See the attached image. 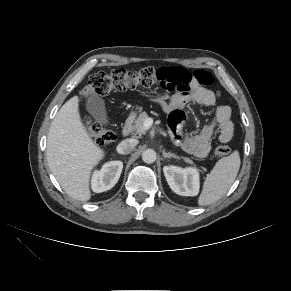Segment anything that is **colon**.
Returning a JSON list of instances; mask_svg holds the SVG:
<instances>
[{"label": "colon", "mask_w": 291, "mask_h": 291, "mask_svg": "<svg viewBox=\"0 0 291 291\" xmlns=\"http://www.w3.org/2000/svg\"><path fill=\"white\" fill-rule=\"evenodd\" d=\"M197 78L201 82H206L209 73L205 71L196 72ZM156 83H160L162 87L168 90L182 89L187 84L186 81L178 78L168 79L162 75V70L153 67H145L137 72H130L124 69H118L109 73L97 72L94 73L87 85L82 90V97L88 98L92 95L105 96L112 91H125L135 89L137 87H149ZM85 127L89 134L100 145H105L115 139V135L110 130L105 129L99 123L92 121L89 118L84 120ZM230 153L228 145L221 143L214 149V154L217 157H224Z\"/></svg>", "instance_id": "1"}]
</instances>
